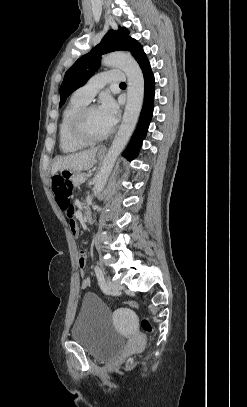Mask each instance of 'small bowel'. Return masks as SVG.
Segmentation results:
<instances>
[{
  "mask_svg": "<svg viewBox=\"0 0 247 407\" xmlns=\"http://www.w3.org/2000/svg\"><path fill=\"white\" fill-rule=\"evenodd\" d=\"M62 211L64 212V214L68 220V224L70 226L72 233L74 235H76L78 233V226H77V221H76V217H75L76 211H75L74 205L71 203L67 209L62 210ZM86 258H87V256L84 251H80L78 253L77 261H78V265L81 269H83L85 267ZM81 276H82V281H81L82 287H84V288L88 287L91 283L90 278L87 277L83 272L81 273Z\"/></svg>",
  "mask_w": 247,
  "mask_h": 407,
  "instance_id": "c3829d8e",
  "label": "small bowel"
}]
</instances>
